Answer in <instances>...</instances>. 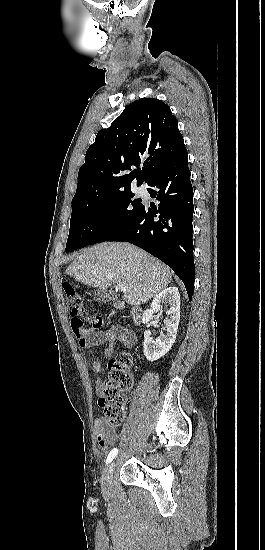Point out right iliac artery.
Listing matches in <instances>:
<instances>
[{
	"instance_id": "1",
	"label": "right iliac artery",
	"mask_w": 265,
	"mask_h": 550,
	"mask_svg": "<svg viewBox=\"0 0 265 550\" xmlns=\"http://www.w3.org/2000/svg\"><path fill=\"white\" fill-rule=\"evenodd\" d=\"M118 454V449L117 448H113L108 457H107V460H106V464L110 463L115 457L116 455Z\"/></svg>"
}]
</instances>
